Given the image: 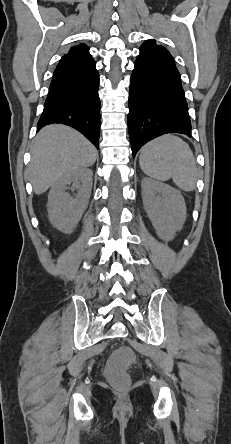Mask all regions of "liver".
Masks as SVG:
<instances>
[{"mask_svg": "<svg viewBox=\"0 0 231 444\" xmlns=\"http://www.w3.org/2000/svg\"><path fill=\"white\" fill-rule=\"evenodd\" d=\"M94 145L76 130L59 124L44 127L31 149L28 175L35 194L47 191L63 175L92 166Z\"/></svg>", "mask_w": 231, "mask_h": 444, "instance_id": "liver-1", "label": "liver"}]
</instances>
